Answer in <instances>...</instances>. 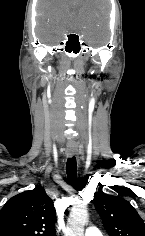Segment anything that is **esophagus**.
<instances>
[{"instance_id":"obj_1","label":"esophagus","mask_w":145,"mask_h":236,"mask_svg":"<svg viewBox=\"0 0 145 236\" xmlns=\"http://www.w3.org/2000/svg\"><path fill=\"white\" fill-rule=\"evenodd\" d=\"M66 154L68 157H73L74 155L77 154V148L74 145H69L66 151Z\"/></svg>"}]
</instances>
